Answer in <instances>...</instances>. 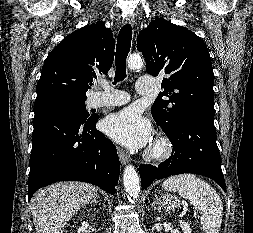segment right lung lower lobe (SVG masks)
<instances>
[{"instance_id": "right-lung-lower-lobe-1", "label": "right lung lower lobe", "mask_w": 253, "mask_h": 233, "mask_svg": "<svg viewBox=\"0 0 253 233\" xmlns=\"http://www.w3.org/2000/svg\"><path fill=\"white\" fill-rule=\"evenodd\" d=\"M98 116L78 120L66 114L34 119L28 199L57 181L92 183L115 193L120 162L116 147L96 129Z\"/></svg>"}]
</instances>
